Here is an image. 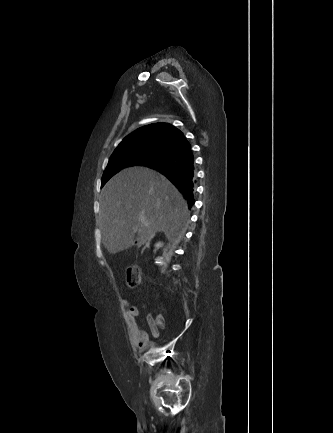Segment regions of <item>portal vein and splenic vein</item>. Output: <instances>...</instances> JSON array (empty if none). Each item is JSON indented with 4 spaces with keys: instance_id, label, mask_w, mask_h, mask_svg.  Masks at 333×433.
<instances>
[{
    "instance_id": "obj_1",
    "label": "portal vein and splenic vein",
    "mask_w": 333,
    "mask_h": 433,
    "mask_svg": "<svg viewBox=\"0 0 333 433\" xmlns=\"http://www.w3.org/2000/svg\"><path fill=\"white\" fill-rule=\"evenodd\" d=\"M141 223H145L144 220H141Z\"/></svg>"
}]
</instances>
